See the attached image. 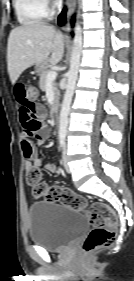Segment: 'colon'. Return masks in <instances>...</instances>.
<instances>
[{
  "instance_id": "5ec220e1",
  "label": "colon",
  "mask_w": 134,
  "mask_h": 281,
  "mask_svg": "<svg viewBox=\"0 0 134 281\" xmlns=\"http://www.w3.org/2000/svg\"><path fill=\"white\" fill-rule=\"evenodd\" d=\"M27 97L29 101L36 102L39 97L37 87L30 85L27 88ZM26 180L35 197H44L47 201L59 202L73 209L86 212L92 230L83 243L85 252H92L113 244L116 237L118 219L107 204L103 202H88L83 196L68 188L46 185L42 181L41 171L37 167L27 170Z\"/></svg>"
}]
</instances>
